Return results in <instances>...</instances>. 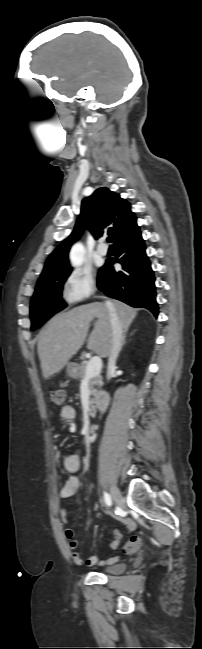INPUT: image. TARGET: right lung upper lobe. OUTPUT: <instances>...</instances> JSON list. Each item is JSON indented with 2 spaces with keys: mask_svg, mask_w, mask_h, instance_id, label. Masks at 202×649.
I'll return each mask as SVG.
<instances>
[{
  "mask_svg": "<svg viewBox=\"0 0 202 649\" xmlns=\"http://www.w3.org/2000/svg\"><path fill=\"white\" fill-rule=\"evenodd\" d=\"M87 227L95 239L107 233L113 242L138 229L136 216L129 202L107 188L97 189L82 200L81 214L69 235L48 257L41 277L70 270L68 253L71 245Z\"/></svg>",
  "mask_w": 202,
  "mask_h": 649,
  "instance_id": "cb5924a9",
  "label": "right lung upper lobe"
}]
</instances>
